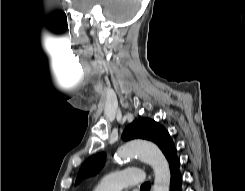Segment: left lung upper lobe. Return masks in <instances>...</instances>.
<instances>
[{"label": "left lung upper lobe", "mask_w": 245, "mask_h": 191, "mask_svg": "<svg viewBox=\"0 0 245 191\" xmlns=\"http://www.w3.org/2000/svg\"><path fill=\"white\" fill-rule=\"evenodd\" d=\"M146 139L156 143L168 159L175 149L168 131L159 123L149 118H139L129 124L122 134L123 140ZM105 155L99 153L89 157L79 170L76 183L86 176L96 174L103 166Z\"/></svg>", "instance_id": "left-lung-upper-lobe-1"}]
</instances>
